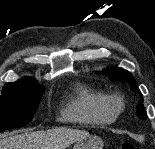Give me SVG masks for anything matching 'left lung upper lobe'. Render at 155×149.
Wrapping results in <instances>:
<instances>
[{
    "mask_svg": "<svg viewBox=\"0 0 155 149\" xmlns=\"http://www.w3.org/2000/svg\"><path fill=\"white\" fill-rule=\"evenodd\" d=\"M96 73L100 74V72H96ZM101 73L108 74L109 79L112 81L127 82L131 90L140 95V100H139V103L137 104V113H136L137 117L142 120L147 119V115L145 113L144 105H143V96L132 74L127 70H124L121 68H115V67H108L104 69Z\"/></svg>",
    "mask_w": 155,
    "mask_h": 149,
    "instance_id": "obj_1",
    "label": "left lung upper lobe"
}]
</instances>
